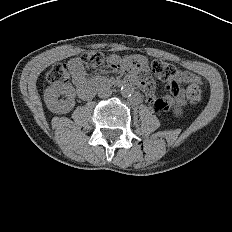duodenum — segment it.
<instances>
[{"instance_id":"410a0bca","label":"duodenum","mask_w":232,"mask_h":232,"mask_svg":"<svg viewBox=\"0 0 232 232\" xmlns=\"http://www.w3.org/2000/svg\"><path fill=\"white\" fill-rule=\"evenodd\" d=\"M138 83V80L133 77H128L120 81L96 80L94 82L86 83L78 90V93L83 99H90L95 94L98 86L121 87L136 85Z\"/></svg>"}]
</instances>
